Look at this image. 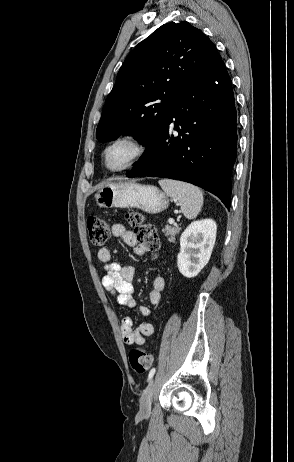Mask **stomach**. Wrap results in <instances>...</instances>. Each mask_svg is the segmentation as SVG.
Returning a JSON list of instances; mask_svg holds the SVG:
<instances>
[{
	"label": "stomach",
	"instance_id": "1",
	"mask_svg": "<svg viewBox=\"0 0 294 462\" xmlns=\"http://www.w3.org/2000/svg\"><path fill=\"white\" fill-rule=\"evenodd\" d=\"M101 208H139L150 214H157L169 205L168 197L157 187L132 181L110 183L95 195Z\"/></svg>",
	"mask_w": 294,
	"mask_h": 462
}]
</instances>
